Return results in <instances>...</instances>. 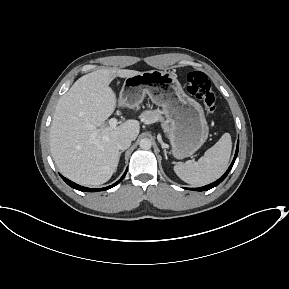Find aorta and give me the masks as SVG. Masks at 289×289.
I'll return each instance as SVG.
<instances>
[{
	"label": "aorta",
	"mask_w": 289,
	"mask_h": 289,
	"mask_svg": "<svg viewBox=\"0 0 289 289\" xmlns=\"http://www.w3.org/2000/svg\"><path fill=\"white\" fill-rule=\"evenodd\" d=\"M139 146L141 149L148 150L152 147V142L148 138H143L140 140Z\"/></svg>",
	"instance_id": "aorta-1"
}]
</instances>
